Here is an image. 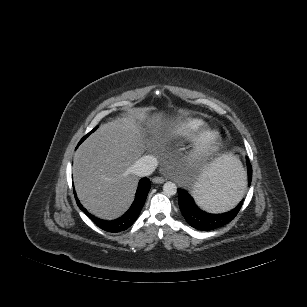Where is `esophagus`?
<instances>
[{"instance_id":"obj_1","label":"esophagus","mask_w":307,"mask_h":307,"mask_svg":"<svg viewBox=\"0 0 307 307\" xmlns=\"http://www.w3.org/2000/svg\"><path fill=\"white\" fill-rule=\"evenodd\" d=\"M164 181H165V179L162 178V177H154V178L152 179V182H153L154 184H161V183H163Z\"/></svg>"}]
</instances>
